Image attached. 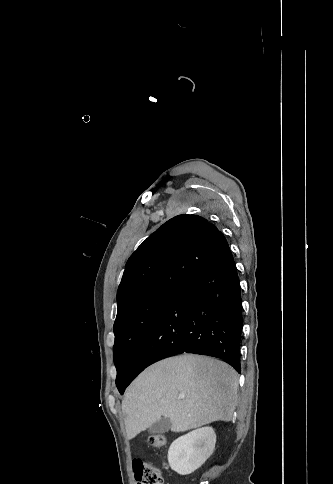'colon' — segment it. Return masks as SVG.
Listing matches in <instances>:
<instances>
[{"label":"colon","instance_id":"colon-1","mask_svg":"<svg viewBox=\"0 0 333 484\" xmlns=\"http://www.w3.org/2000/svg\"><path fill=\"white\" fill-rule=\"evenodd\" d=\"M147 443L155 448H163L166 444V438L162 434H152L147 438ZM136 478L137 484H164L162 470L145 462L141 463Z\"/></svg>","mask_w":333,"mask_h":484}]
</instances>
